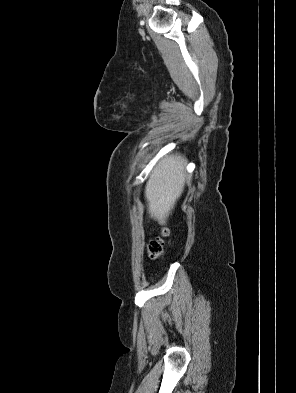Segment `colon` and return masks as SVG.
I'll list each match as a JSON object with an SVG mask.
<instances>
[{
  "label": "colon",
  "instance_id": "1",
  "mask_svg": "<svg viewBox=\"0 0 296 393\" xmlns=\"http://www.w3.org/2000/svg\"><path fill=\"white\" fill-rule=\"evenodd\" d=\"M167 232H163V236H166ZM164 241L161 238H157L152 241L149 245V254L151 258H159L163 254Z\"/></svg>",
  "mask_w": 296,
  "mask_h": 393
}]
</instances>
